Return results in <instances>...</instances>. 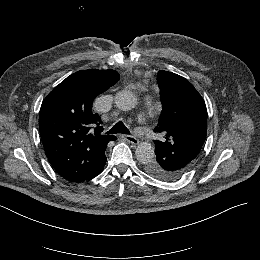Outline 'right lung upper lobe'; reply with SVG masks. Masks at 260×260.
<instances>
[{"label": "right lung upper lobe", "mask_w": 260, "mask_h": 260, "mask_svg": "<svg viewBox=\"0 0 260 260\" xmlns=\"http://www.w3.org/2000/svg\"><path fill=\"white\" fill-rule=\"evenodd\" d=\"M118 79L114 70L78 71L45 98L39 131L52 167L64 179L80 183L103 171L107 143L117 138L100 133V117L91 108L95 97Z\"/></svg>", "instance_id": "cb5924a9"}]
</instances>
